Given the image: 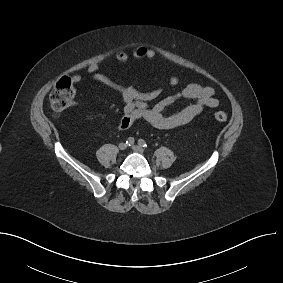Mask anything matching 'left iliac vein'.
<instances>
[{"label":"left iliac vein","mask_w":283,"mask_h":283,"mask_svg":"<svg viewBox=\"0 0 283 283\" xmlns=\"http://www.w3.org/2000/svg\"><path fill=\"white\" fill-rule=\"evenodd\" d=\"M132 149L137 153H144V149L138 145H133Z\"/></svg>","instance_id":"4c4485c4"}]
</instances>
